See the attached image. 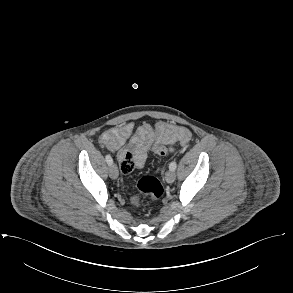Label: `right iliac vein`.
I'll use <instances>...</instances> for the list:
<instances>
[{"mask_svg":"<svg viewBox=\"0 0 293 293\" xmlns=\"http://www.w3.org/2000/svg\"><path fill=\"white\" fill-rule=\"evenodd\" d=\"M109 175L112 179H116L119 175L118 168L115 164H111L109 167Z\"/></svg>","mask_w":293,"mask_h":293,"instance_id":"1","label":"right iliac vein"}]
</instances>
